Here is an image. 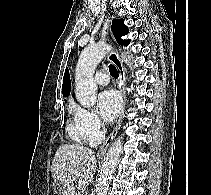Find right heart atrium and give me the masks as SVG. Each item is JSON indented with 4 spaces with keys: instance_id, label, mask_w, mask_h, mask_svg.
I'll return each instance as SVG.
<instances>
[{
    "instance_id": "right-heart-atrium-1",
    "label": "right heart atrium",
    "mask_w": 211,
    "mask_h": 195,
    "mask_svg": "<svg viewBox=\"0 0 211 195\" xmlns=\"http://www.w3.org/2000/svg\"><path fill=\"white\" fill-rule=\"evenodd\" d=\"M76 115L85 141L89 143L97 142L103 134V126L98 115L81 107H76Z\"/></svg>"
}]
</instances>
